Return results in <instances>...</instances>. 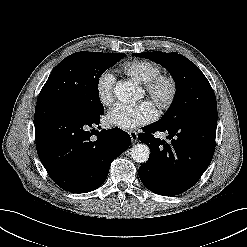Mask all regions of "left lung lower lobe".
Masks as SVG:
<instances>
[{
	"instance_id": "0a47b994",
	"label": "left lung lower lobe",
	"mask_w": 247,
	"mask_h": 247,
	"mask_svg": "<svg viewBox=\"0 0 247 247\" xmlns=\"http://www.w3.org/2000/svg\"><path fill=\"white\" fill-rule=\"evenodd\" d=\"M217 119L195 118L173 124L159 121L143 128L138 135L151 151L149 160L139 168V177L150 191L174 196L191 188L211 163L215 150ZM167 132L171 142L154 137Z\"/></svg>"
}]
</instances>
